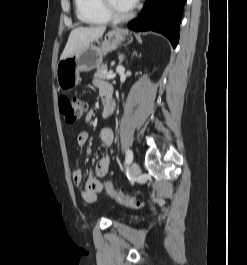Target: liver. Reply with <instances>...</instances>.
I'll list each match as a JSON object with an SVG mask.
<instances>
[{
    "label": "liver",
    "mask_w": 247,
    "mask_h": 265,
    "mask_svg": "<svg viewBox=\"0 0 247 265\" xmlns=\"http://www.w3.org/2000/svg\"><path fill=\"white\" fill-rule=\"evenodd\" d=\"M105 30V26L75 28L69 35L60 60L72 56L85 45L98 40L102 37Z\"/></svg>",
    "instance_id": "6515ba94"
}]
</instances>
